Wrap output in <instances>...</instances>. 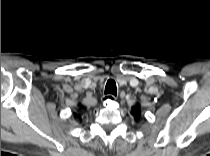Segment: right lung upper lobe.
<instances>
[{
  "instance_id": "cb5924a9",
  "label": "right lung upper lobe",
  "mask_w": 210,
  "mask_h": 156,
  "mask_svg": "<svg viewBox=\"0 0 210 156\" xmlns=\"http://www.w3.org/2000/svg\"><path fill=\"white\" fill-rule=\"evenodd\" d=\"M77 117L80 119V115H77Z\"/></svg>"
}]
</instances>
